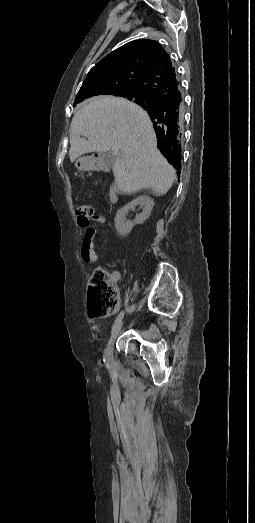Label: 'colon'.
Returning a JSON list of instances; mask_svg holds the SVG:
<instances>
[{"label": "colon", "instance_id": "5ec220e1", "mask_svg": "<svg viewBox=\"0 0 255 523\" xmlns=\"http://www.w3.org/2000/svg\"><path fill=\"white\" fill-rule=\"evenodd\" d=\"M80 225H87L93 217L91 205L82 204L76 209ZM119 307V297L116 284L104 267L93 270L88 287V314L91 318L114 313Z\"/></svg>", "mask_w": 255, "mask_h": 523}]
</instances>
